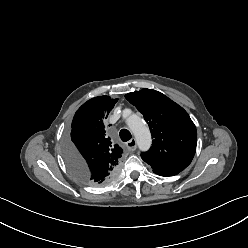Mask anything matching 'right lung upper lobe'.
<instances>
[{
	"label": "right lung upper lobe",
	"instance_id": "1",
	"mask_svg": "<svg viewBox=\"0 0 248 248\" xmlns=\"http://www.w3.org/2000/svg\"><path fill=\"white\" fill-rule=\"evenodd\" d=\"M117 99L99 96L84 103L75 113L69 141V163H75L76 169L90 181L88 184L104 185L118 174L123 149L114 144L106 134L105 120ZM113 178L106 182L104 178Z\"/></svg>",
	"mask_w": 248,
	"mask_h": 248
}]
</instances>
